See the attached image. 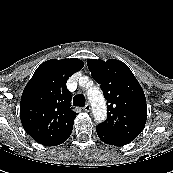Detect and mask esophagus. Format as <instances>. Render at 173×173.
Returning a JSON list of instances; mask_svg holds the SVG:
<instances>
[{"label": "esophagus", "instance_id": "esophagus-1", "mask_svg": "<svg viewBox=\"0 0 173 173\" xmlns=\"http://www.w3.org/2000/svg\"><path fill=\"white\" fill-rule=\"evenodd\" d=\"M84 111L85 112H90V110H91V106H90V104L88 103V104H86L85 106H84Z\"/></svg>", "mask_w": 173, "mask_h": 173}]
</instances>
